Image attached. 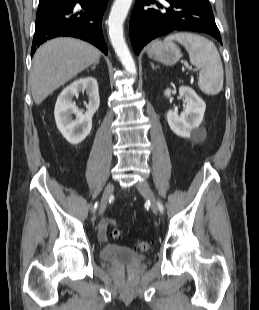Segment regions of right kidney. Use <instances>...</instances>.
<instances>
[{
  "mask_svg": "<svg viewBox=\"0 0 259 310\" xmlns=\"http://www.w3.org/2000/svg\"><path fill=\"white\" fill-rule=\"evenodd\" d=\"M79 92H86L88 96L87 111L83 113L78 110L72 102L74 96ZM100 103L98 83L93 77L80 78L63 89L58 96L54 115L58 130L71 144L82 142L92 129V117L98 110ZM72 114L76 119H72Z\"/></svg>",
  "mask_w": 259,
  "mask_h": 310,
  "instance_id": "right-kidney-1",
  "label": "right kidney"
}]
</instances>
